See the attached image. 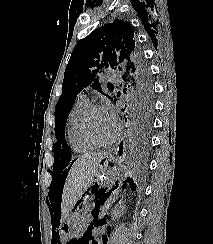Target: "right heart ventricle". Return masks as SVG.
<instances>
[{"label":"right heart ventricle","mask_w":213,"mask_h":244,"mask_svg":"<svg viewBox=\"0 0 213 244\" xmlns=\"http://www.w3.org/2000/svg\"><path fill=\"white\" fill-rule=\"evenodd\" d=\"M89 104L90 103L87 98H78L72 106L66 122L67 142L70 148L77 153H86L94 148L82 138L79 131L81 116Z\"/></svg>","instance_id":"right-heart-ventricle-1"}]
</instances>
